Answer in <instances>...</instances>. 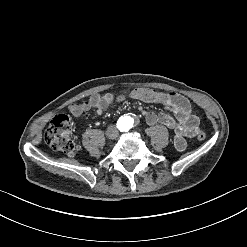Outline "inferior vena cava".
Segmentation results:
<instances>
[{"mask_svg":"<svg viewBox=\"0 0 247 247\" xmlns=\"http://www.w3.org/2000/svg\"><path fill=\"white\" fill-rule=\"evenodd\" d=\"M119 132L117 130V128L114 125H111L108 127L107 129V135L110 138H116L118 136Z\"/></svg>","mask_w":247,"mask_h":247,"instance_id":"inferior-vena-cava-1","label":"inferior vena cava"}]
</instances>
